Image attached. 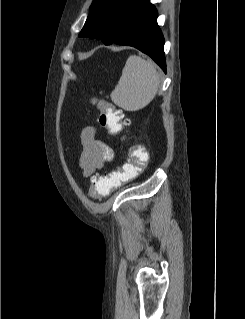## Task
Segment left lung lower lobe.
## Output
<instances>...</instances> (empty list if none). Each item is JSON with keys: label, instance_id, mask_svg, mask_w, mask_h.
I'll return each mask as SVG.
<instances>
[{"label": "left lung lower lobe", "instance_id": "0a47b994", "mask_svg": "<svg viewBox=\"0 0 245 319\" xmlns=\"http://www.w3.org/2000/svg\"><path fill=\"white\" fill-rule=\"evenodd\" d=\"M157 16L156 8L148 1L128 19L113 43L141 50L166 72L164 38Z\"/></svg>", "mask_w": 245, "mask_h": 319}]
</instances>
